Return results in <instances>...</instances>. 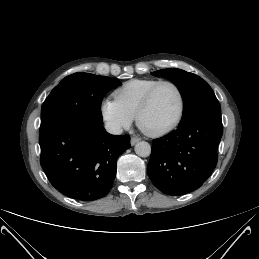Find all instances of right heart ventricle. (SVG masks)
<instances>
[{
  "label": "right heart ventricle",
  "mask_w": 259,
  "mask_h": 259,
  "mask_svg": "<svg viewBox=\"0 0 259 259\" xmlns=\"http://www.w3.org/2000/svg\"><path fill=\"white\" fill-rule=\"evenodd\" d=\"M158 81L154 78L132 79L115 90L114 98L121 108L134 118L144 96Z\"/></svg>",
  "instance_id": "right-heart-ventricle-1"
}]
</instances>
